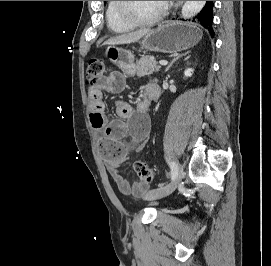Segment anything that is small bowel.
<instances>
[{"label":"small bowel","instance_id":"1","mask_svg":"<svg viewBox=\"0 0 271 266\" xmlns=\"http://www.w3.org/2000/svg\"><path fill=\"white\" fill-rule=\"evenodd\" d=\"M152 85L149 84L148 87ZM125 88V79L118 70H111L106 75L91 79L88 92L90 98L89 119L92 127L100 132V147L106 162V167L117 184L119 190L125 194H142L147 184L137 182L131 185L119 172V167L127 160L130 144L125 138L130 136L134 143L143 142L149 134V122L144 116L149 102L143 100L138 103L136 111L125 101H117L115 110L119 119L109 121L105 115L103 92L117 93Z\"/></svg>","mask_w":271,"mask_h":266}]
</instances>
